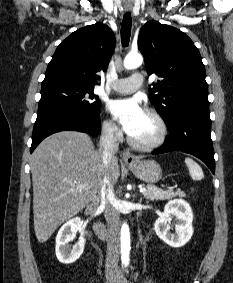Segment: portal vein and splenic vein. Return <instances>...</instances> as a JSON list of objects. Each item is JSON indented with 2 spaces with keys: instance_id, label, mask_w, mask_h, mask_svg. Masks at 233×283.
<instances>
[{
  "instance_id": "1",
  "label": "portal vein and splenic vein",
  "mask_w": 233,
  "mask_h": 283,
  "mask_svg": "<svg viewBox=\"0 0 233 283\" xmlns=\"http://www.w3.org/2000/svg\"><path fill=\"white\" fill-rule=\"evenodd\" d=\"M77 187H78L79 189H85V188H89V185H88V184H77ZM139 191H140L141 193H144V192L147 191V189H146V188H140Z\"/></svg>"
}]
</instances>
